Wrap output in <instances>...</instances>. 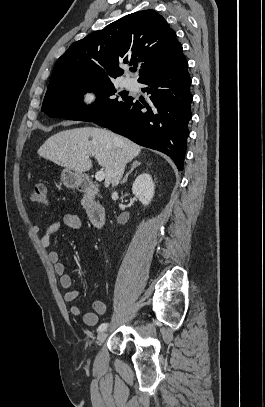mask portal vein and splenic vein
<instances>
[{"instance_id":"portal-vein-and-splenic-vein-1","label":"portal vein and splenic vein","mask_w":265,"mask_h":407,"mask_svg":"<svg viewBox=\"0 0 265 407\" xmlns=\"http://www.w3.org/2000/svg\"><path fill=\"white\" fill-rule=\"evenodd\" d=\"M105 178V172L104 171H98L95 175V179L99 182L103 181Z\"/></svg>"}]
</instances>
